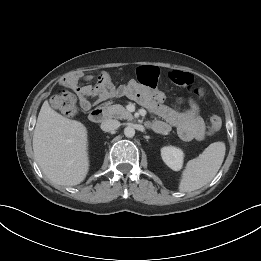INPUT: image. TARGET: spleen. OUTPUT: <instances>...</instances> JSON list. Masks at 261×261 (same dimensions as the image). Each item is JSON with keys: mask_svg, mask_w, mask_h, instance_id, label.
I'll list each match as a JSON object with an SVG mask.
<instances>
[{"mask_svg": "<svg viewBox=\"0 0 261 261\" xmlns=\"http://www.w3.org/2000/svg\"><path fill=\"white\" fill-rule=\"evenodd\" d=\"M225 151L224 142H214L199 157L188 161L181 175L179 191L191 192L209 183L220 169Z\"/></svg>", "mask_w": 261, "mask_h": 261, "instance_id": "spleen-1", "label": "spleen"}]
</instances>
